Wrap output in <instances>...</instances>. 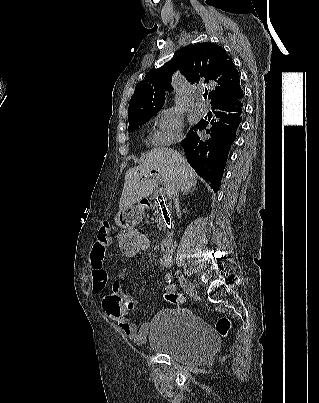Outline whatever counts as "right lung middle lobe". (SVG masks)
Returning <instances> with one entry per match:
<instances>
[{
  "label": "right lung middle lobe",
  "instance_id": "right-lung-middle-lobe-1",
  "mask_svg": "<svg viewBox=\"0 0 319 403\" xmlns=\"http://www.w3.org/2000/svg\"><path fill=\"white\" fill-rule=\"evenodd\" d=\"M160 110H161V108L155 109V110H153V111H151V112L145 114L144 116H142V117H140V118H138V119H136V120L130 121V122H129L128 131H129V132L134 131V130L137 129L139 126H141V125H143L144 123H146L147 121H149L150 118L153 117V116H154L158 111H160Z\"/></svg>",
  "mask_w": 319,
  "mask_h": 403
}]
</instances>
